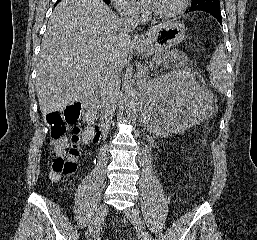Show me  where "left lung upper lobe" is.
Returning <instances> with one entry per match:
<instances>
[{"mask_svg": "<svg viewBox=\"0 0 257 240\" xmlns=\"http://www.w3.org/2000/svg\"><path fill=\"white\" fill-rule=\"evenodd\" d=\"M220 9L219 0H192L190 10H201V9Z\"/></svg>", "mask_w": 257, "mask_h": 240, "instance_id": "1", "label": "left lung upper lobe"}]
</instances>
